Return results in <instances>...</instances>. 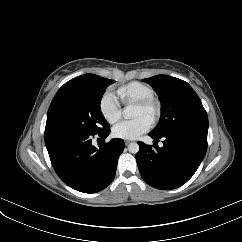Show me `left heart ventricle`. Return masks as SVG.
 I'll list each match as a JSON object with an SVG mask.
<instances>
[{"label": "left heart ventricle", "mask_w": 242, "mask_h": 242, "mask_svg": "<svg viewBox=\"0 0 242 242\" xmlns=\"http://www.w3.org/2000/svg\"><path fill=\"white\" fill-rule=\"evenodd\" d=\"M141 116L150 119L149 114L146 111H144L142 108H140L138 106H135L134 112H133V117L137 118V117H141Z\"/></svg>", "instance_id": "1"}]
</instances>
